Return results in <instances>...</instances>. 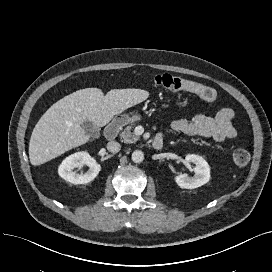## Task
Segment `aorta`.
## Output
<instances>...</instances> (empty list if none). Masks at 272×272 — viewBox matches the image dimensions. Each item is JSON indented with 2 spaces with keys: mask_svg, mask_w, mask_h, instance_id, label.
Returning a JSON list of instances; mask_svg holds the SVG:
<instances>
[{
  "mask_svg": "<svg viewBox=\"0 0 272 272\" xmlns=\"http://www.w3.org/2000/svg\"><path fill=\"white\" fill-rule=\"evenodd\" d=\"M131 158L134 163H141L144 160V153L140 150H136L132 153Z\"/></svg>",
  "mask_w": 272,
  "mask_h": 272,
  "instance_id": "obj_1",
  "label": "aorta"
}]
</instances>
